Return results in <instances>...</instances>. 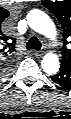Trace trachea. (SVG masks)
<instances>
[{
    "label": "trachea",
    "instance_id": "trachea-1",
    "mask_svg": "<svg viewBox=\"0 0 71 119\" xmlns=\"http://www.w3.org/2000/svg\"><path fill=\"white\" fill-rule=\"evenodd\" d=\"M41 48V42L39 41L38 38L36 37H32L29 39V41L27 42V49H35V50H40Z\"/></svg>",
    "mask_w": 71,
    "mask_h": 119
}]
</instances>
